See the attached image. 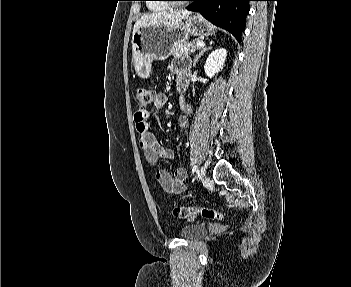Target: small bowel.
I'll return each mask as SVG.
<instances>
[{
	"mask_svg": "<svg viewBox=\"0 0 351 287\" xmlns=\"http://www.w3.org/2000/svg\"><path fill=\"white\" fill-rule=\"evenodd\" d=\"M170 69L172 73L177 76L180 87H183L188 72V62L184 59H176L171 63ZM167 101L168 98L166 94L157 93L151 110L138 109L135 112L139 144L144 153L146 162L152 168H156L160 158L172 159L174 157L173 150L163 147L150 132L148 123L151 114L163 109ZM180 105L183 115L179 119V124L182 127H186L188 125V116L191 113V107L183 98L180 99ZM155 176L162 188L168 193L179 194L185 191L187 187V171L183 167L176 168L173 175L164 169H159L156 171Z\"/></svg>",
	"mask_w": 351,
	"mask_h": 287,
	"instance_id": "small-bowel-1",
	"label": "small bowel"
}]
</instances>
